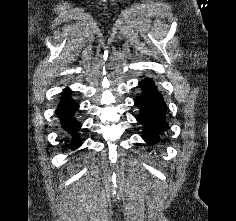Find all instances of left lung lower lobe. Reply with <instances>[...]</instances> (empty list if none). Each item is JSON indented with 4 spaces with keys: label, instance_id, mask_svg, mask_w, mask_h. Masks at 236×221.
<instances>
[{
    "label": "left lung lower lobe",
    "instance_id": "left-lung-lower-lobe-1",
    "mask_svg": "<svg viewBox=\"0 0 236 221\" xmlns=\"http://www.w3.org/2000/svg\"><path fill=\"white\" fill-rule=\"evenodd\" d=\"M139 87L142 94L135 101L140 108L137 120L144 126V140L156 143L157 136L168 126L165 123L166 105L153 80L146 78L139 83Z\"/></svg>",
    "mask_w": 236,
    "mask_h": 221
}]
</instances>
